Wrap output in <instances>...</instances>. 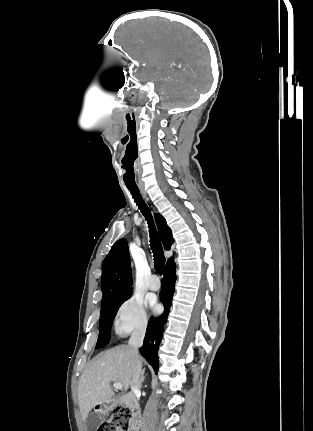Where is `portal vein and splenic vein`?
Wrapping results in <instances>:
<instances>
[{
    "mask_svg": "<svg viewBox=\"0 0 313 431\" xmlns=\"http://www.w3.org/2000/svg\"><path fill=\"white\" fill-rule=\"evenodd\" d=\"M113 386L116 390H121L123 388V385L120 382H114Z\"/></svg>",
    "mask_w": 313,
    "mask_h": 431,
    "instance_id": "obj_1",
    "label": "portal vein and splenic vein"
}]
</instances>
